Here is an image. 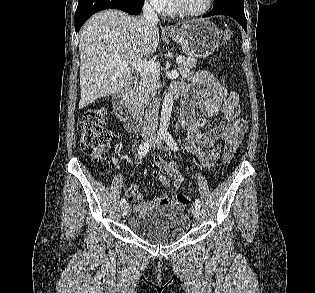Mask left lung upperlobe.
<instances>
[{"instance_id": "obj_1", "label": "left lung upper lobe", "mask_w": 315, "mask_h": 293, "mask_svg": "<svg viewBox=\"0 0 315 293\" xmlns=\"http://www.w3.org/2000/svg\"><path fill=\"white\" fill-rule=\"evenodd\" d=\"M224 6L244 7V0H215L213 9H218Z\"/></svg>"}]
</instances>
